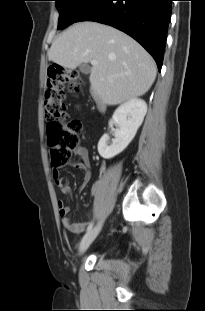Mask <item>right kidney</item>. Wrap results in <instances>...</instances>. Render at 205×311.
<instances>
[{"label": "right kidney", "mask_w": 205, "mask_h": 311, "mask_svg": "<svg viewBox=\"0 0 205 311\" xmlns=\"http://www.w3.org/2000/svg\"><path fill=\"white\" fill-rule=\"evenodd\" d=\"M147 112V105L141 99H131L122 104L114 112L109 125L119 128L114 131L115 139L108 145L109 135L104 134L98 143V152L105 159L113 158L121 153L133 140Z\"/></svg>", "instance_id": "1"}]
</instances>
